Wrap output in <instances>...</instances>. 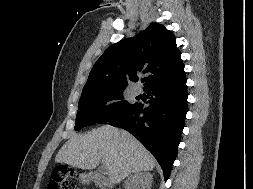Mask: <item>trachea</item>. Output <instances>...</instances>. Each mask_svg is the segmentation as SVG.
<instances>
[{
  "instance_id": "1",
  "label": "trachea",
  "mask_w": 253,
  "mask_h": 189,
  "mask_svg": "<svg viewBox=\"0 0 253 189\" xmlns=\"http://www.w3.org/2000/svg\"><path fill=\"white\" fill-rule=\"evenodd\" d=\"M146 81V79H142V82H145Z\"/></svg>"
}]
</instances>
